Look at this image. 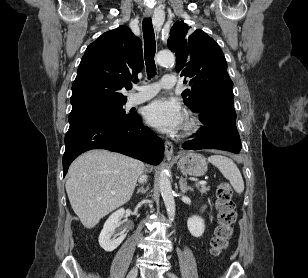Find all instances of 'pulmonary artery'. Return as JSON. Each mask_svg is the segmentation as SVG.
Wrapping results in <instances>:
<instances>
[{
	"label": "pulmonary artery",
	"mask_w": 308,
	"mask_h": 278,
	"mask_svg": "<svg viewBox=\"0 0 308 278\" xmlns=\"http://www.w3.org/2000/svg\"><path fill=\"white\" fill-rule=\"evenodd\" d=\"M176 78L174 75L166 74L158 83H151L139 87L137 92L129 98V105L135 106L154 97L161 88L170 89L175 86Z\"/></svg>",
	"instance_id": "obj_1"
}]
</instances>
